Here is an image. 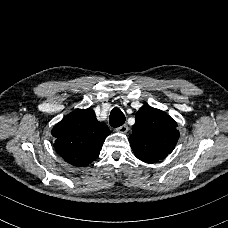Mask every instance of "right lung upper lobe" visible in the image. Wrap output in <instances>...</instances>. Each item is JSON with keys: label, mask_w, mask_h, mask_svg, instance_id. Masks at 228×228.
I'll return each mask as SVG.
<instances>
[{"label": "right lung upper lobe", "mask_w": 228, "mask_h": 228, "mask_svg": "<svg viewBox=\"0 0 228 228\" xmlns=\"http://www.w3.org/2000/svg\"><path fill=\"white\" fill-rule=\"evenodd\" d=\"M110 130L99 122L92 109H76L53 130L54 148L69 164L87 166L99 155Z\"/></svg>", "instance_id": "1"}]
</instances>
